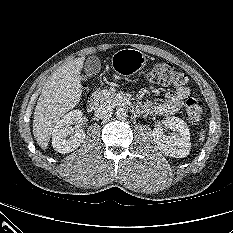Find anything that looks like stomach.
I'll use <instances>...</instances> for the list:
<instances>
[{
  "label": "stomach",
  "instance_id": "obj_1",
  "mask_svg": "<svg viewBox=\"0 0 233 233\" xmlns=\"http://www.w3.org/2000/svg\"><path fill=\"white\" fill-rule=\"evenodd\" d=\"M145 54L136 49H121L111 58L113 69L122 75H130L139 71L146 65Z\"/></svg>",
  "mask_w": 233,
  "mask_h": 233
}]
</instances>
